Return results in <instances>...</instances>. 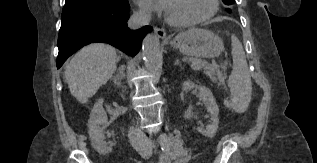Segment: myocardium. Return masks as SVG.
Listing matches in <instances>:
<instances>
[{
	"label": "myocardium",
	"mask_w": 317,
	"mask_h": 163,
	"mask_svg": "<svg viewBox=\"0 0 317 163\" xmlns=\"http://www.w3.org/2000/svg\"><path fill=\"white\" fill-rule=\"evenodd\" d=\"M219 9V3L218 0H210V9L209 11L201 16L198 17L196 19L190 20V21H174L172 19H170L166 14L164 16L165 22L167 24H169L172 27H176V28H188V27H193L196 26L198 24H201L203 22H206L208 20H210L211 18H213Z\"/></svg>",
	"instance_id": "obj_1"
}]
</instances>
